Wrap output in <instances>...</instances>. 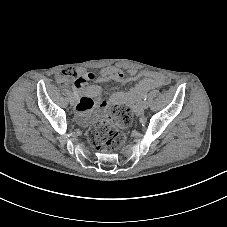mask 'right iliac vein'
<instances>
[{
    "mask_svg": "<svg viewBox=\"0 0 227 227\" xmlns=\"http://www.w3.org/2000/svg\"><path fill=\"white\" fill-rule=\"evenodd\" d=\"M70 103H71L72 106H74V105H76L78 103V101H76V99L74 97H72L70 99Z\"/></svg>",
    "mask_w": 227,
    "mask_h": 227,
    "instance_id": "1",
    "label": "right iliac vein"
}]
</instances>
